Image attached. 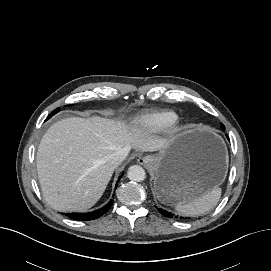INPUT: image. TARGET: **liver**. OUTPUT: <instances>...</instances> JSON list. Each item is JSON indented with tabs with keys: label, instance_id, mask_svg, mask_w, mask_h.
Wrapping results in <instances>:
<instances>
[{
	"label": "liver",
	"instance_id": "1",
	"mask_svg": "<svg viewBox=\"0 0 271 271\" xmlns=\"http://www.w3.org/2000/svg\"><path fill=\"white\" fill-rule=\"evenodd\" d=\"M169 139L100 117L66 118L44 134L37 151L43 197L60 212L84 211L103 195L115 167L109 156L121 149L153 152Z\"/></svg>",
	"mask_w": 271,
	"mask_h": 271
}]
</instances>
